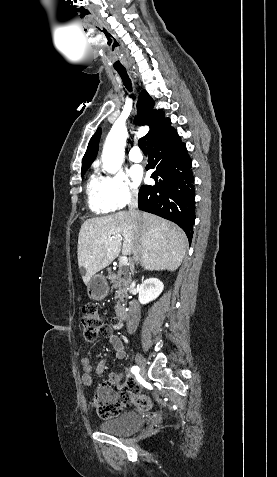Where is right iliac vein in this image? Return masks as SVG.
<instances>
[{
	"instance_id": "obj_1",
	"label": "right iliac vein",
	"mask_w": 277,
	"mask_h": 477,
	"mask_svg": "<svg viewBox=\"0 0 277 477\" xmlns=\"http://www.w3.org/2000/svg\"><path fill=\"white\" fill-rule=\"evenodd\" d=\"M135 361H136L141 373L144 374L146 372V363H145V359L143 358V356L140 355V354H136Z\"/></svg>"
}]
</instances>
